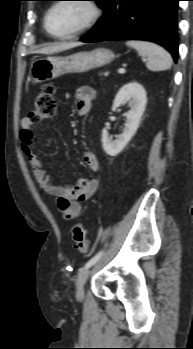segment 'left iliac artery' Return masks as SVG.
Here are the masks:
<instances>
[{
  "label": "left iliac artery",
  "instance_id": "1",
  "mask_svg": "<svg viewBox=\"0 0 193 349\" xmlns=\"http://www.w3.org/2000/svg\"><path fill=\"white\" fill-rule=\"evenodd\" d=\"M103 255V250L99 251L95 256H93L86 264L85 268L93 266Z\"/></svg>",
  "mask_w": 193,
  "mask_h": 349
}]
</instances>
